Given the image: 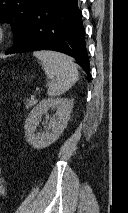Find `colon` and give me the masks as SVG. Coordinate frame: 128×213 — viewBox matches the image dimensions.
Returning a JSON list of instances; mask_svg holds the SVG:
<instances>
[{
    "label": "colon",
    "instance_id": "obj_1",
    "mask_svg": "<svg viewBox=\"0 0 128 213\" xmlns=\"http://www.w3.org/2000/svg\"><path fill=\"white\" fill-rule=\"evenodd\" d=\"M0 196H5V185H4V179L2 176L1 168H0Z\"/></svg>",
    "mask_w": 128,
    "mask_h": 213
}]
</instances>
